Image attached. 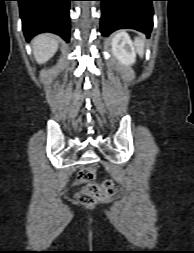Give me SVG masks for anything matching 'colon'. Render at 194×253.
Wrapping results in <instances>:
<instances>
[{
	"label": "colon",
	"instance_id": "1",
	"mask_svg": "<svg viewBox=\"0 0 194 253\" xmlns=\"http://www.w3.org/2000/svg\"><path fill=\"white\" fill-rule=\"evenodd\" d=\"M95 171L92 167H85L79 173V181L86 184L78 195V200L83 204H92L103 201L114 195L115 183L112 180H104L98 183L92 182Z\"/></svg>",
	"mask_w": 194,
	"mask_h": 253
}]
</instances>
